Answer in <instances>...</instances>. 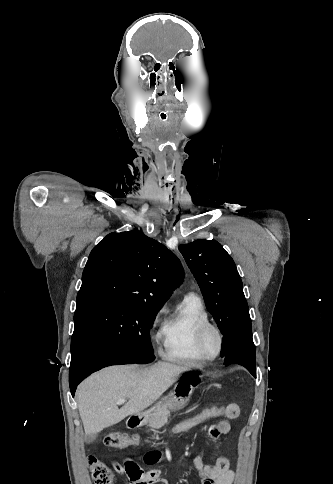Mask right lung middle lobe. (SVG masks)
<instances>
[{
	"label": "right lung middle lobe",
	"mask_w": 333,
	"mask_h": 484,
	"mask_svg": "<svg viewBox=\"0 0 333 484\" xmlns=\"http://www.w3.org/2000/svg\"><path fill=\"white\" fill-rule=\"evenodd\" d=\"M158 311L152 306L116 301L77 304L71 345L83 329H89L117 344L135 363H150L155 357L149 332Z\"/></svg>",
	"instance_id": "1"
}]
</instances>
